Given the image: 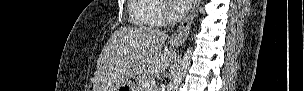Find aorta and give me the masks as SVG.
<instances>
[{"label": "aorta", "instance_id": "obj_1", "mask_svg": "<svg viewBox=\"0 0 304 91\" xmlns=\"http://www.w3.org/2000/svg\"><path fill=\"white\" fill-rule=\"evenodd\" d=\"M192 52L193 49L189 47L187 51L184 53V56L182 60L179 62V65L173 75V78L168 85L167 91H177L178 87L180 86L182 80L184 79L189 69Z\"/></svg>", "mask_w": 304, "mask_h": 91}]
</instances>
